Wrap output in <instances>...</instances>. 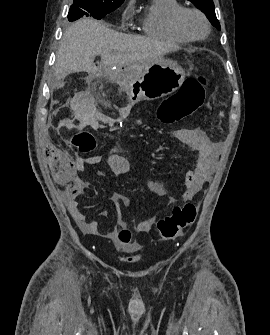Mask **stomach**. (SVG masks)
Instances as JSON below:
<instances>
[{"label":"stomach","mask_w":270,"mask_h":335,"mask_svg":"<svg viewBox=\"0 0 270 335\" xmlns=\"http://www.w3.org/2000/svg\"><path fill=\"white\" fill-rule=\"evenodd\" d=\"M116 74L124 86L130 106L141 100H157L173 94L181 88L186 76L181 66L164 58L152 60L145 70L143 67L127 70L122 66L117 68Z\"/></svg>","instance_id":"stomach-1"}]
</instances>
